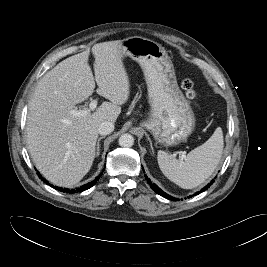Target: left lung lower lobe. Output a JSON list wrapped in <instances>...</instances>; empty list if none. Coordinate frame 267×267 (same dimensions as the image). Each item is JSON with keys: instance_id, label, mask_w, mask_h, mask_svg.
Listing matches in <instances>:
<instances>
[{"instance_id": "left-lung-lower-lobe-1", "label": "left lung lower lobe", "mask_w": 267, "mask_h": 267, "mask_svg": "<svg viewBox=\"0 0 267 267\" xmlns=\"http://www.w3.org/2000/svg\"><path fill=\"white\" fill-rule=\"evenodd\" d=\"M143 171H144V170H143ZM145 178H146L148 184L150 185V187H151L157 194L161 195L162 197H164V198H166V199H170V200H172V201H177V200H178L177 198H174V197L169 196V195L166 194L164 191H162L156 184L152 183V182L150 181V179H148L147 175H145ZM213 182H214V180H212V181L210 182V184H208L207 186H205L200 192H197L196 194H199V193H201L202 191L207 190V189L210 187V185H212ZM190 197H192V196H190ZM188 198H189V197H188Z\"/></svg>"}]
</instances>
